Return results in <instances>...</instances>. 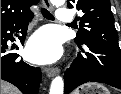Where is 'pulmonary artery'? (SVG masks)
<instances>
[{
	"mask_svg": "<svg viewBox=\"0 0 121 94\" xmlns=\"http://www.w3.org/2000/svg\"><path fill=\"white\" fill-rule=\"evenodd\" d=\"M72 19L70 11L66 8H60L57 12V20L60 22H69Z\"/></svg>",
	"mask_w": 121,
	"mask_h": 94,
	"instance_id": "obj_1",
	"label": "pulmonary artery"
}]
</instances>
